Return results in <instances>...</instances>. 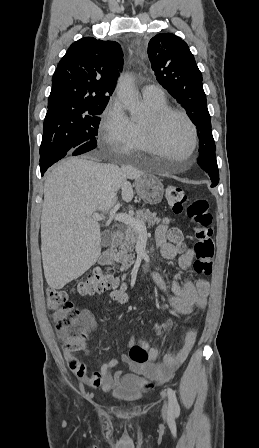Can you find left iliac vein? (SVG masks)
<instances>
[{
    "mask_svg": "<svg viewBox=\"0 0 259 448\" xmlns=\"http://www.w3.org/2000/svg\"><path fill=\"white\" fill-rule=\"evenodd\" d=\"M162 415L164 418H167L169 415V406L168 404L165 402L162 408Z\"/></svg>",
    "mask_w": 259,
    "mask_h": 448,
    "instance_id": "obj_1",
    "label": "left iliac vein"
}]
</instances>
